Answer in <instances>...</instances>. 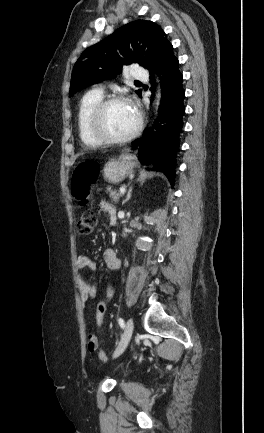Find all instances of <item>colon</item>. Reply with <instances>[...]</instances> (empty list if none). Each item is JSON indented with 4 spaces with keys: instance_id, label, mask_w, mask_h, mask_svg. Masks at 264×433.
<instances>
[{
    "instance_id": "1",
    "label": "colon",
    "mask_w": 264,
    "mask_h": 433,
    "mask_svg": "<svg viewBox=\"0 0 264 433\" xmlns=\"http://www.w3.org/2000/svg\"><path fill=\"white\" fill-rule=\"evenodd\" d=\"M99 173V166L95 161H86L79 164L73 171L71 186L72 193L82 205L88 202L91 186L96 182ZM96 215L92 211H85L78 221V231L80 234H90L96 226ZM109 300L102 298L96 307V324L99 328L103 325L104 317L107 312ZM100 359L105 362L106 356L100 351Z\"/></svg>"
}]
</instances>
